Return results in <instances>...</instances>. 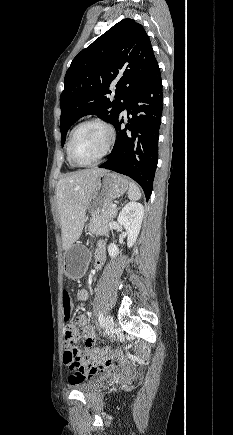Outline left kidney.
Returning a JSON list of instances; mask_svg holds the SVG:
<instances>
[{"label":"left kidney","instance_id":"1","mask_svg":"<svg viewBox=\"0 0 233 435\" xmlns=\"http://www.w3.org/2000/svg\"><path fill=\"white\" fill-rule=\"evenodd\" d=\"M143 215L144 207L141 203L138 202L127 203L119 213L117 221L126 230V233L128 235L127 246L129 248L133 246L138 237ZM108 253L111 258H114L120 252L118 247L114 243H110L108 246Z\"/></svg>","mask_w":233,"mask_h":435}]
</instances>
